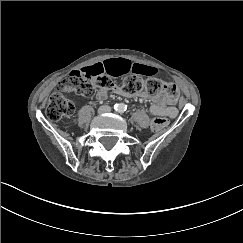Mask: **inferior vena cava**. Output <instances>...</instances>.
<instances>
[{
	"mask_svg": "<svg viewBox=\"0 0 243 243\" xmlns=\"http://www.w3.org/2000/svg\"><path fill=\"white\" fill-rule=\"evenodd\" d=\"M111 109H112L111 106L107 104V105H105V106H101V107H99L97 111H98L99 114L102 115V114H104L105 112H107V113L110 112Z\"/></svg>",
	"mask_w": 243,
	"mask_h": 243,
	"instance_id": "inferior-vena-cava-1",
	"label": "inferior vena cava"
}]
</instances>
